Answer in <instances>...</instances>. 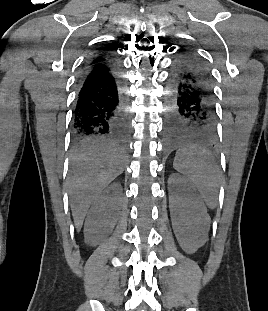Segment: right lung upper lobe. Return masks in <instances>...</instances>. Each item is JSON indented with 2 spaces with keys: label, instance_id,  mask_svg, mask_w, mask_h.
I'll return each instance as SVG.
<instances>
[{
  "label": "right lung upper lobe",
  "instance_id": "cb5924a9",
  "mask_svg": "<svg viewBox=\"0 0 268 311\" xmlns=\"http://www.w3.org/2000/svg\"><path fill=\"white\" fill-rule=\"evenodd\" d=\"M113 50H115V48H111V47L102 48L99 51V53L91 59V61L93 63L103 62V61L113 57L111 54V51H113Z\"/></svg>",
  "mask_w": 268,
  "mask_h": 311
}]
</instances>
